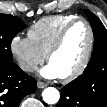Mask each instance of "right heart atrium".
<instances>
[{"label":"right heart atrium","mask_w":107,"mask_h":107,"mask_svg":"<svg viewBox=\"0 0 107 107\" xmlns=\"http://www.w3.org/2000/svg\"><path fill=\"white\" fill-rule=\"evenodd\" d=\"M10 50L19 67L27 72H34L46 59L29 37L15 35L10 42Z\"/></svg>","instance_id":"1"}]
</instances>
